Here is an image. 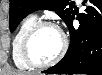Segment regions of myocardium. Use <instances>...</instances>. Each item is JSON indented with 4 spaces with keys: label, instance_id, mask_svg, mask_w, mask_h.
Instances as JSON below:
<instances>
[{
    "label": "myocardium",
    "instance_id": "1",
    "mask_svg": "<svg viewBox=\"0 0 102 75\" xmlns=\"http://www.w3.org/2000/svg\"><path fill=\"white\" fill-rule=\"evenodd\" d=\"M47 26L53 27L59 31L61 38H62V46H61L59 53L52 60L48 62H40L36 60L34 56L32 55L30 46H31V42L33 38L35 37V35L42 28L47 27ZM67 47H68V41H67V37L65 33L61 30V28L58 26L56 22L50 19L38 20L30 28V30L28 31V33L26 34L22 42V52H23L25 60L28 62L30 66L40 67V68L49 67L59 62L65 55L67 51Z\"/></svg>",
    "mask_w": 102,
    "mask_h": 75
}]
</instances>
